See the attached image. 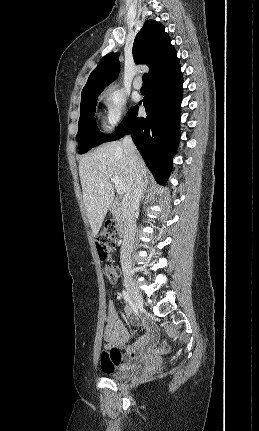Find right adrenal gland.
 Here are the masks:
<instances>
[{
    "label": "right adrenal gland",
    "instance_id": "2a0ac1e0",
    "mask_svg": "<svg viewBox=\"0 0 259 431\" xmlns=\"http://www.w3.org/2000/svg\"><path fill=\"white\" fill-rule=\"evenodd\" d=\"M147 185H148V181H147V179L145 180V182H144V187H143V194H142V197L144 196V192H145V190H146V188H147Z\"/></svg>",
    "mask_w": 259,
    "mask_h": 431
}]
</instances>
